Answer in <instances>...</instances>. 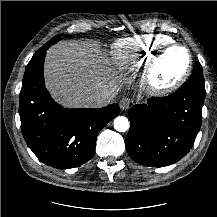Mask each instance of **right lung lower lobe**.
<instances>
[{"mask_svg":"<svg viewBox=\"0 0 217 217\" xmlns=\"http://www.w3.org/2000/svg\"><path fill=\"white\" fill-rule=\"evenodd\" d=\"M47 49L28 63L19 95L23 137L46 165L68 169L91 159L100 130L119 114V105L100 109H65L51 98L44 85Z\"/></svg>","mask_w":217,"mask_h":217,"instance_id":"obj_1","label":"right lung lower lobe"}]
</instances>
